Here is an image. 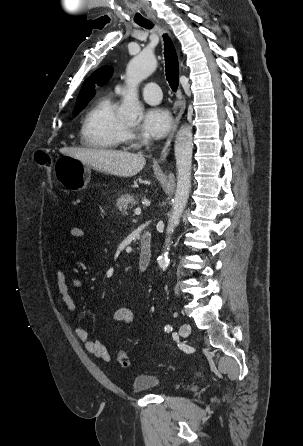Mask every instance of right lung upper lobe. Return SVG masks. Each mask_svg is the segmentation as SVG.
<instances>
[{
  "label": "right lung upper lobe",
  "instance_id": "obj_1",
  "mask_svg": "<svg viewBox=\"0 0 303 446\" xmlns=\"http://www.w3.org/2000/svg\"><path fill=\"white\" fill-rule=\"evenodd\" d=\"M112 74L113 70L111 67H102L92 73L89 79L84 81L75 107L87 104L95 95L94 87L96 85L106 84L111 78Z\"/></svg>",
  "mask_w": 303,
  "mask_h": 446
}]
</instances>
